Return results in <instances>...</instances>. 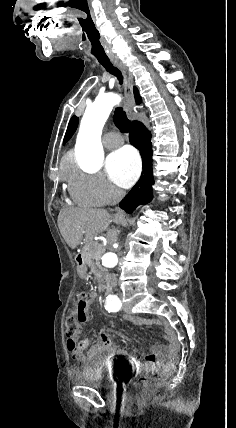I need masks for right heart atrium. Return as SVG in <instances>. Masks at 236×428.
I'll return each instance as SVG.
<instances>
[{"label":"right heart atrium","mask_w":236,"mask_h":428,"mask_svg":"<svg viewBox=\"0 0 236 428\" xmlns=\"http://www.w3.org/2000/svg\"><path fill=\"white\" fill-rule=\"evenodd\" d=\"M68 182L70 195L80 206H108L123 196V192L101 173L89 174L74 169Z\"/></svg>","instance_id":"obj_1"}]
</instances>
